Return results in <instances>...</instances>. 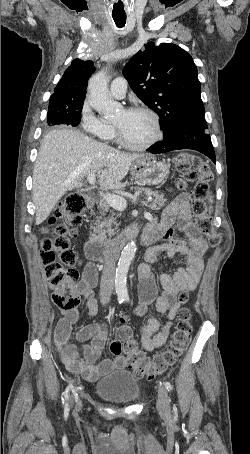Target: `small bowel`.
<instances>
[{
	"instance_id": "c3829d8e",
	"label": "small bowel",
	"mask_w": 250,
	"mask_h": 454,
	"mask_svg": "<svg viewBox=\"0 0 250 454\" xmlns=\"http://www.w3.org/2000/svg\"><path fill=\"white\" fill-rule=\"evenodd\" d=\"M174 224L183 233L185 239L175 236ZM148 239L158 244L147 250V264L139 268L140 301L134 311L139 316L144 315L149 305L154 302L156 311L165 313L167 316L163 324L155 315L150 316L142 329V346L146 351H153L163 346L170 336L173 320L180 308V304L175 299L176 295L180 291L187 293L194 291L204 269L206 243L192 220L188 194H180L166 208L162 221L152 228ZM160 252H165L169 258H176L182 263L172 274L162 273L159 276L161 290L149 265L157 262ZM97 279V267L89 263L85 266L81 280L76 285V293L86 300L88 316H95L98 312V304L93 292ZM79 318L80 314L76 310L66 312L55 328V346L65 367L88 381H95L113 369L122 368L125 360L121 356L113 360L101 359L106 335L97 324L85 325L77 331V340L85 342L92 339L91 344L83 345L82 355H80L77 346L70 342L73 325Z\"/></svg>"
}]
</instances>
